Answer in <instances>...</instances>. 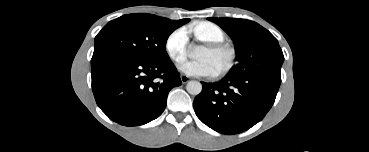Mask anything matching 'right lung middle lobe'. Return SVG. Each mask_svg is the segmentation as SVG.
Listing matches in <instances>:
<instances>
[{
  "instance_id": "1",
  "label": "right lung middle lobe",
  "mask_w": 369,
  "mask_h": 152,
  "mask_svg": "<svg viewBox=\"0 0 369 152\" xmlns=\"http://www.w3.org/2000/svg\"><path fill=\"white\" fill-rule=\"evenodd\" d=\"M176 28L151 14L123 15L110 21L95 37L91 65L114 57L140 61L166 59V41Z\"/></svg>"
}]
</instances>
